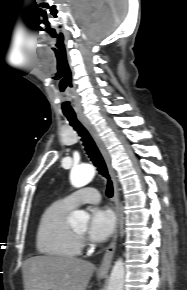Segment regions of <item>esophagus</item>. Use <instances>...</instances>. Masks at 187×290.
<instances>
[{"label": "esophagus", "instance_id": "34e87169", "mask_svg": "<svg viewBox=\"0 0 187 290\" xmlns=\"http://www.w3.org/2000/svg\"><path fill=\"white\" fill-rule=\"evenodd\" d=\"M78 118L82 122V124L85 126V128L88 130V132L92 136L93 140L95 141L96 145L98 146L102 156L104 157V160H105L106 165L108 167L110 177H111L112 182H113V189H114L113 201L115 204V214H116V219H117L116 229H115L113 239H112L109 247L107 248V250L104 254V257L102 259L101 265L97 271V273L99 275H106L111 267V263H112V259L114 256L116 243H117V239H118V232H119L120 203H119L117 179H116L115 170L113 169V166H112L110 155H109L101 137L97 133L96 129L91 125V123L86 119V117L83 114L79 113Z\"/></svg>", "mask_w": 187, "mask_h": 290}]
</instances>
